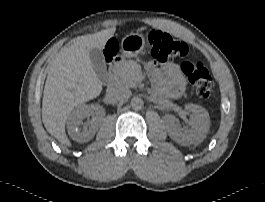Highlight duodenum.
Returning <instances> with one entry per match:
<instances>
[{
	"instance_id": "duodenum-1",
	"label": "duodenum",
	"mask_w": 265,
	"mask_h": 202,
	"mask_svg": "<svg viewBox=\"0 0 265 202\" xmlns=\"http://www.w3.org/2000/svg\"><path fill=\"white\" fill-rule=\"evenodd\" d=\"M123 62V57L122 56H117L115 58V61L113 63H111L110 67H109V71L105 77V83L107 85H110L112 83H114L115 79H116V75H117V70H118V66L120 63Z\"/></svg>"
}]
</instances>
